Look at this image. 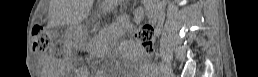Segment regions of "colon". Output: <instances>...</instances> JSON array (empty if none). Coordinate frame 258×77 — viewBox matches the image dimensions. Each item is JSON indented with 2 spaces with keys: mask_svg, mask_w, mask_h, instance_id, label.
<instances>
[{
  "mask_svg": "<svg viewBox=\"0 0 258 77\" xmlns=\"http://www.w3.org/2000/svg\"><path fill=\"white\" fill-rule=\"evenodd\" d=\"M51 32L42 23L34 26V46L38 51L45 50L51 42ZM135 41L147 52H151L154 47V28L145 24L139 27L134 33Z\"/></svg>",
  "mask_w": 258,
  "mask_h": 77,
  "instance_id": "colon-1",
  "label": "colon"
}]
</instances>
